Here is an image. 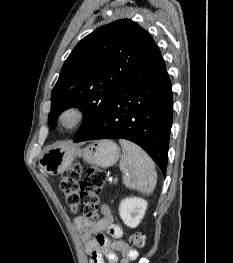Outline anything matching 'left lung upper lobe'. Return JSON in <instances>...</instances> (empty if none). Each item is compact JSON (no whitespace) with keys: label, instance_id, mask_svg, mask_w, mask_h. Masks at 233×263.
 Returning a JSON list of instances; mask_svg holds the SVG:
<instances>
[{"label":"left lung upper lobe","instance_id":"obj_1","mask_svg":"<svg viewBox=\"0 0 233 263\" xmlns=\"http://www.w3.org/2000/svg\"><path fill=\"white\" fill-rule=\"evenodd\" d=\"M153 42L146 30L128 19L101 26L83 38L66 59L52 90L50 127L62 111L78 107L84 120L74 141H80Z\"/></svg>","mask_w":233,"mask_h":263}]
</instances>
